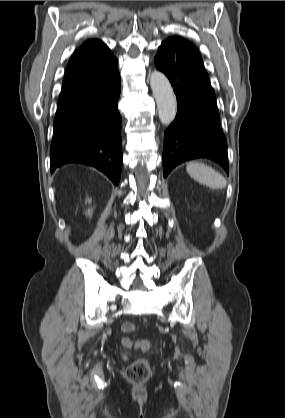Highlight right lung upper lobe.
<instances>
[{
    "label": "right lung upper lobe",
    "instance_id": "obj_1",
    "mask_svg": "<svg viewBox=\"0 0 285 418\" xmlns=\"http://www.w3.org/2000/svg\"><path fill=\"white\" fill-rule=\"evenodd\" d=\"M118 71L117 59L98 39L85 41L70 58L58 103L83 93Z\"/></svg>",
    "mask_w": 285,
    "mask_h": 418
}]
</instances>
